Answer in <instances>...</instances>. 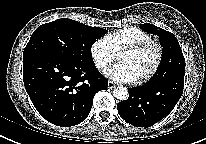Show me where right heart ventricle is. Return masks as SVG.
<instances>
[{"label": "right heart ventricle", "instance_id": "e07e8e85", "mask_svg": "<svg viewBox=\"0 0 206 144\" xmlns=\"http://www.w3.org/2000/svg\"><path fill=\"white\" fill-rule=\"evenodd\" d=\"M105 38L114 53H119L122 48L128 45L151 40V36L148 33L135 27L116 30L108 34Z\"/></svg>", "mask_w": 206, "mask_h": 144}]
</instances>
